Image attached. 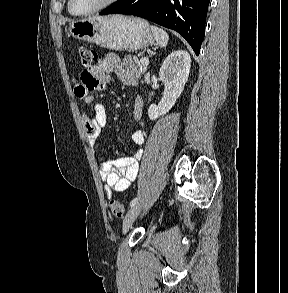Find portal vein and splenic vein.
Returning a JSON list of instances; mask_svg holds the SVG:
<instances>
[{"instance_id":"obj_1","label":"portal vein and splenic vein","mask_w":288,"mask_h":293,"mask_svg":"<svg viewBox=\"0 0 288 293\" xmlns=\"http://www.w3.org/2000/svg\"><path fill=\"white\" fill-rule=\"evenodd\" d=\"M140 63L142 64V65H149V59L148 58H146V57H142L141 59H140Z\"/></svg>"}]
</instances>
